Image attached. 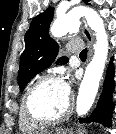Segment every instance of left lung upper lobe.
Masks as SVG:
<instances>
[{"label": "left lung upper lobe", "instance_id": "left-lung-upper-lobe-1", "mask_svg": "<svg viewBox=\"0 0 116 134\" xmlns=\"http://www.w3.org/2000/svg\"><path fill=\"white\" fill-rule=\"evenodd\" d=\"M85 3L88 0H83ZM54 8L50 7L37 15L31 22L25 35V49L20 59L18 83L20 90L37 74L48 68L56 59L59 46L49 36V27L53 19ZM68 58L60 57L56 63L66 64Z\"/></svg>", "mask_w": 116, "mask_h": 134}]
</instances>
